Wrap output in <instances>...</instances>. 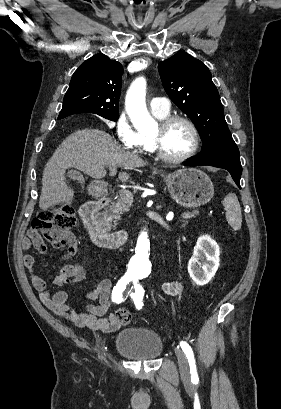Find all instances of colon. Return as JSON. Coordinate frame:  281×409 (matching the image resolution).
Returning <instances> with one entry per match:
<instances>
[{"mask_svg": "<svg viewBox=\"0 0 281 409\" xmlns=\"http://www.w3.org/2000/svg\"><path fill=\"white\" fill-rule=\"evenodd\" d=\"M75 222L74 207L70 203H66L40 211L33 221V228L37 232L38 238L66 251L65 233L74 227ZM129 314V306H118L115 320L122 324H128L131 322Z\"/></svg>", "mask_w": 281, "mask_h": 409, "instance_id": "obj_1", "label": "colon"}]
</instances>
